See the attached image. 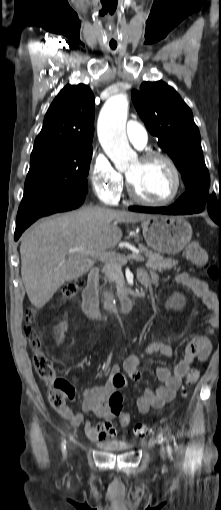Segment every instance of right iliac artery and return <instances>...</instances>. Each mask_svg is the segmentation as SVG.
I'll return each mask as SVG.
<instances>
[{
	"instance_id": "1",
	"label": "right iliac artery",
	"mask_w": 221,
	"mask_h": 510,
	"mask_svg": "<svg viewBox=\"0 0 221 510\" xmlns=\"http://www.w3.org/2000/svg\"><path fill=\"white\" fill-rule=\"evenodd\" d=\"M62 448H63V451H65V441L62 443Z\"/></svg>"
}]
</instances>
